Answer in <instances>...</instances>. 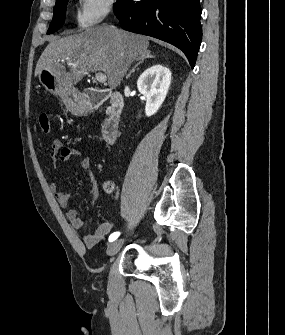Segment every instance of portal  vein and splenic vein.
I'll return each instance as SVG.
<instances>
[{
  "instance_id": "portal-vein-and-splenic-vein-1",
  "label": "portal vein and splenic vein",
  "mask_w": 285,
  "mask_h": 335,
  "mask_svg": "<svg viewBox=\"0 0 285 335\" xmlns=\"http://www.w3.org/2000/svg\"><path fill=\"white\" fill-rule=\"evenodd\" d=\"M95 78L97 82H102V84H104V82H107L105 74H96Z\"/></svg>"
}]
</instances>
